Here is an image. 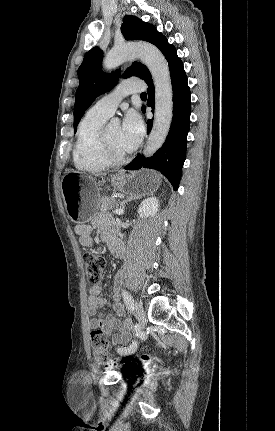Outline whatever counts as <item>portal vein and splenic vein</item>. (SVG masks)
Returning <instances> with one entry per match:
<instances>
[{"instance_id": "portal-vein-and-splenic-vein-1", "label": "portal vein and splenic vein", "mask_w": 275, "mask_h": 431, "mask_svg": "<svg viewBox=\"0 0 275 431\" xmlns=\"http://www.w3.org/2000/svg\"><path fill=\"white\" fill-rule=\"evenodd\" d=\"M113 212L115 214L121 215V214H123L124 211L122 209H115Z\"/></svg>"}]
</instances>
